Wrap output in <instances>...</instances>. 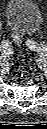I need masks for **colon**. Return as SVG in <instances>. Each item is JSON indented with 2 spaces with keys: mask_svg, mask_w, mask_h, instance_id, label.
I'll return each instance as SVG.
<instances>
[{
  "mask_svg": "<svg viewBox=\"0 0 47 129\" xmlns=\"http://www.w3.org/2000/svg\"><path fill=\"white\" fill-rule=\"evenodd\" d=\"M12 36L15 39L16 42L19 43L21 41L20 37L15 32H12Z\"/></svg>",
  "mask_w": 47,
  "mask_h": 129,
  "instance_id": "5ec220e1",
  "label": "colon"
}]
</instances>
